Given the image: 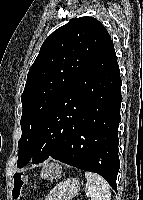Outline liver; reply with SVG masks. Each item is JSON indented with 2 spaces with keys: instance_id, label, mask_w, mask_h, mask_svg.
Here are the masks:
<instances>
[{
  "instance_id": "liver-1",
  "label": "liver",
  "mask_w": 143,
  "mask_h": 200,
  "mask_svg": "<svg viewBox=\"0 0 143 200\" xmlns=\"http://www.w3.org/2000/svg\"><path fill=\"white\" fill-rule=\"evenodd\" d=\"M48 167V165L47 166H45V168H47ZM44 168V169H45ZM58 173H59V169L56 171V173L55 174H51V171L50 170H47V171H44L43 170V172H42V176L44 177V178H53L54 176H56V175H58Z\"/></svg>"
}]
</instances>
